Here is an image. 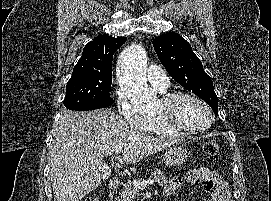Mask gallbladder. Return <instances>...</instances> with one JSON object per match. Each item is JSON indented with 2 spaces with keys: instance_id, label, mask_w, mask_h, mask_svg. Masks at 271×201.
Segmentation results:
<instances>
[{
  "instance_id": "gallbladder-1",
  "label": "gallbladder",
  "mask_w": 271,
  "mask_h": 201,
  "mask_svg": "<svg viewBox=\"0 0 271 201\" xmlns=\"http://www.w3.org/2000/svg\"><path fill=\"white\" fill-rule=\"evenodd\" d=\"M109 169L107 167L103 168V177L108 178L109 177Z\"/></svg>"
}]
</instances>
